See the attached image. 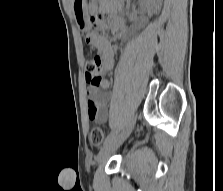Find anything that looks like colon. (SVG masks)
Here are the masks:
<instances>
[{"label": "colon", "instance_id": "1", "mask_svg": "<svg viewBox=\"0 0 223 191\" xmlns=\"http://www.w3.org/2000/svg\"><path fill=\"white\" fill-rule=\"evenodd\" d=\"M86 81L89 85L99 86L102 82L100 75V58L94 57L85 61ZM104 140V132L99 127H94L90 131V143L93 147H100Z\"/></svg>", "mask_w": 223, "mask_h": 191}]
</instances>
